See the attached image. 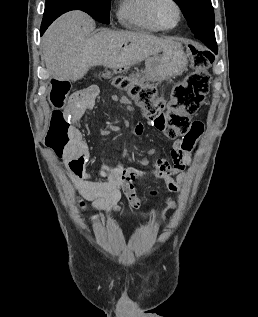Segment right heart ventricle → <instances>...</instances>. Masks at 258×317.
Wrapping results in <instances>:
<instances>
[{
	"instance_id": "right-heart-ventricle-1",
	"label": "right heart ventricle",
	"mask_w": 258,
	"mask_h": 317,
	"mask_svg": "<svg viewBox=\"0 0 258 317\" xmlns=\"http://www.w3.org/2000/svg\"><path fill=\"white\" fill-rule=\"evenodd\" d=\"M156 0H122L117 11L118 21L125 27L156 33L160 29L151 17V10Z\"/></svg>"
}]
</instances>
